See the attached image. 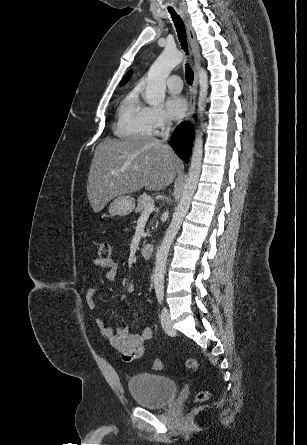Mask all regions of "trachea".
<instances>
[{"label": "trachea", "mask_w": 307, "mask_h": 445, "mask_svg": "<svg viewBox=\"0 0 307 445\" xmlns=\"http://www.w3.org/2000/svg\"><path fill=\"white\" fill-rule=\"evenodd\" d=\"M168 10L172 15V19H173L175 27L177 29V33H178V37L181 42V45H182L183 49L185 51H187L186 32H185V27H184L183 21L181 20L180 16L174 12V10L171 7H169ZM185 78H186V82L189 85H192L193 79H194V73H193V70L189 67L186 68Z\"/></svg>", "instance_id": "obj_1"}]
</instances>
